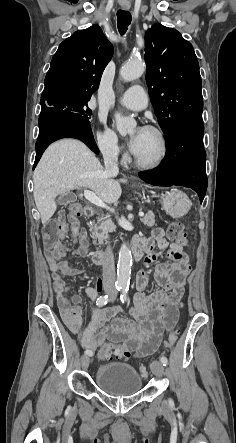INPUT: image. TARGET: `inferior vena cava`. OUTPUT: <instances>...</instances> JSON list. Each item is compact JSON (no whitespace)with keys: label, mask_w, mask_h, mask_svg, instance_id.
I'll return each instance as SVG.
<instances>
[{"label":"inferior vena cava","mask_w":236,"mask_h":443,"mask_svg":"<svg viewBox=\"0 0 236 443\" xmlns=\"http://www.w3.org/2000/svg\"><path fill=\"white\" fill-rule=\"evenodd\" d=\"M105 171L109 176H116L119 173L118 153L112 149L103 152ZM115 264L114 255L110 245L105 250L103 262V286L105 293L109 295L111 301L116 298L115 289Z\"/></svg>","instance_id":"602c4592"}]
</instances>
